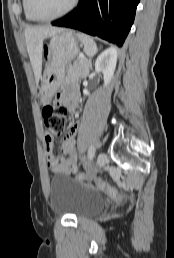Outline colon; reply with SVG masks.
Instances as JSON below:
<instances>
[{
  "instance_id": "1",
  "label": "colon",
  "mask_w": 174,
  "mask_h": 258,
  "mask_svg": "<svg viewBox=\"0 0 174 258\" xmlns=\"http://www.w3.org/2000/svg\"><path fill=\"white\" fill-rule=\"evenodd\" d=\"M67 108L61 105L48 104L43 108V119L47 132L51 136H60L64 133L67 120ZM75 179L82 184H92L109 198L120 201L123 195L109 183L86 174H76Z\"/></svg>"
}]
</instances>
